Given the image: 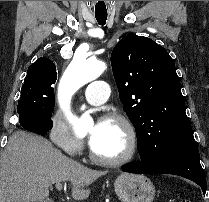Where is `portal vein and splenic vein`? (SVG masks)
Returning a JSON list of instances; mask_svg holds the SVG:
<instances>
[{"instance_id": "1", "label": "portal vein and splenic vein", "mask_w": 209, "mask_h": 202, "mask_svg": "<svg viewBox=\"0 0 209 202\" xmlns=\"http://www.w3.org/2000/svg\"><path fill=\"white\" fill-rule=\"evenodd\" d=\"M56 188H57L58 190H61V189H62V185H61L60 182H57V183H56Z\"/></svg>"}]
</instances>
